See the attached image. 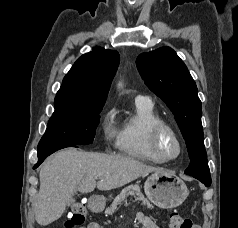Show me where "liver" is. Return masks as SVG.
<instances>
[{
  "instance_id": "1",
  "label": "liver",
  "mask_w": 238,
  "mask_h": 228,
  "mask_svg": "<svg viewBox=\"0 0 238 228\" xmlns=\"http://www.w3.org/2000/svg\"><path fill=\"white\" fill-rule=\"evenodd\" d=\"M161 168L132 157L78 151L69 148L48 158L39 173L40 189L34 205L35 219L46 226L59 219L73 200L74 192L90 193L122 187ZM99 179L96 182V179Z\"/></svg>"
}]
</instances>
